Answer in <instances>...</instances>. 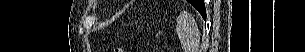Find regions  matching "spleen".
I'll use <instances>...</instances> for the list:
<instances>
[{"label": "spleen", "instance_id": "spleen-1", "mask_svg": "<svg viewBox=\"0 0 305 52\" xmlns=\"http://www.w3.org/2000/svg\"><path fill=\"white\" fill-rule=\"evenodd\" d=\"M177 33L182 45V49L185 52H195L198 50L200 44V32L194 18L186 13H180L177 17ZM187 32L190 37V41H186L183 33Z\"/></svg>", "mask_w": 305, "mask_h": 52}]
</instances>
